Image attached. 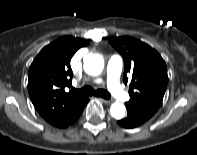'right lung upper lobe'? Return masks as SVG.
I'll use <instances>...</instances> for the list:
<instances>
[{"label":"right lung upper lobe","instance_id":"cb5924a9","mask_svg":"<svg viewBox=\"0 0 197 155\" xmlns=\"http://www.w3.org/2000/svg\"><path fill=\"white\" fill-rule=\"evenodd\" d=\"M88 41L72 36L61 37L44 47L29 69L28 91L39 114L50 124L64 127L86 100L70 87L73 72L70 60Z\"/></svg>","mask_w":197,"mask_h":155}]
</instances>
